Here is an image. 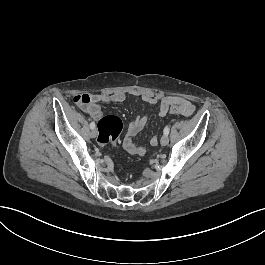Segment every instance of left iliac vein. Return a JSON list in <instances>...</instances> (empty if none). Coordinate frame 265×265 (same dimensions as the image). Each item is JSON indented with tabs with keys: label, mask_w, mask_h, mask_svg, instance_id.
I'll list each match as a JSON object with an SVG mask.
<instances>
[{
	"label": "left iliac vein",
	"mask_w": 265,
	"mask_h": 265,
	"mask_svg": "<svg viewBox=\"0 0 265 265\" xmlns=\"http://www.w3.org/2000/svg\"><path fill=\"white\" fill-rule=\"evenodd\" d=\"M168 142H169L168 135H165V134H164V135L161 137L160 143H161L162 146H166V145L168 144Z\"/></svg>",
	"instance_id": "4c4485c4"
}]
</instances>
